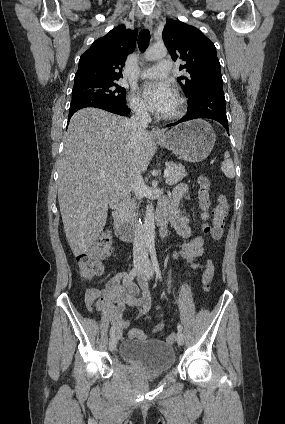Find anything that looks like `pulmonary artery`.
<instances>
[{
	"instance_id": "obj_1",
	"label": "pulmonary artery",
	"mask_w": 285,
	"mask_h": 424,
	"mask_svg": "<svg viewBox=\"0 0 285 424\" xmlns=\"http://www.w3.org/2000/svg\"><path fill=\"white\" fill-rule=\"evenodd\" d=\"M172 70V61L168 59L161 60L158 65L144 69L140 76L144 79H157L167 75Z\"/></svg>"
}]
</instances>
